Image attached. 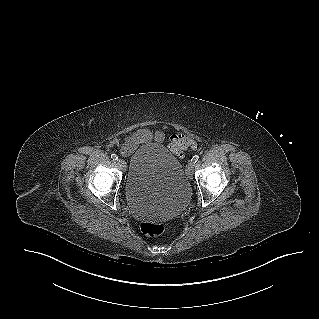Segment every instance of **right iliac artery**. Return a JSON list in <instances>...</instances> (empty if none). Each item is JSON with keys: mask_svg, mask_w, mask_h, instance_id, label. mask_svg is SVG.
I'll use <instances>...</instances> for the list:
<instances>
[{"mask_svg": "<svg viewBox=\"0 0 319 319\" xmlns=\"http://www.w3.org/2000/svg\"><path fill=\"white\" fill-rule=\"evenodd\" d=\"M111 158L114 160V161H118V156L114 153L111 154Z\"/></svg>", "mask_w": 319, "mask_h": 319, "instance_id": "1", "label": "right iliac artery"}]
</instances>
